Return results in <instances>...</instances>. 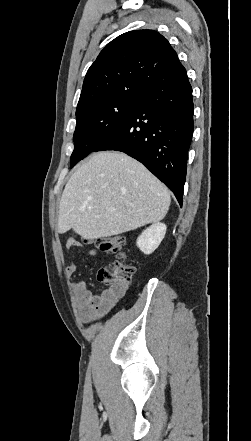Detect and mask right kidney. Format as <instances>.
Instances as JSON below:
<instances>
[{"label":"right kidney","instance_id":"obj_1","mask_svg":"<svg viewBox=\"0 0 251 441\" xmlns=\"http://www.w3.org/2000/svg\"><path fill=\"white\" fill-rule=\"evenodd\" d=\"M166 225L163 223H155L146 228L137 239V246L144 254H151L154 252L166 233Z\"/></svg>","mask_w":251,"mask_h":441}]
</instances>
